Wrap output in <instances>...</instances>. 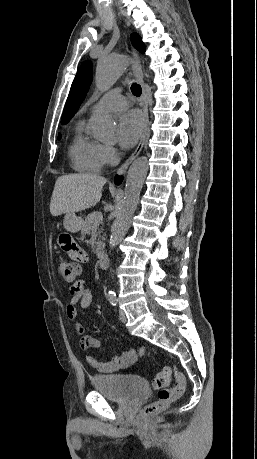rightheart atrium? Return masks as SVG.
<instances>
[{"label": "right heart atrium", "mask_w": 257, "mask_h": 459, "mask_svg": "<svg viewBox=\"0 0 257 459\" xmlns=\"http://www.w3.org/2000/svg\"><path fill=\"white\" fill-rule=\"evenodd\" d=\"M116 150L112 145L101 146V159L103 164L111 165L116 160Z\"/></svg>", "instance_id": "d8ad5b80"}]
</instances>
